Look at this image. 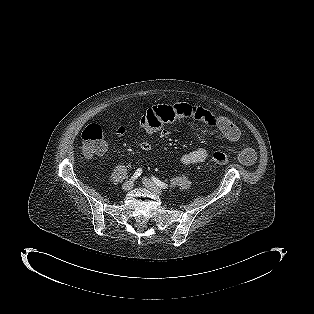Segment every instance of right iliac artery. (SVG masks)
<instances>
[{
	"instance_id": "right-iliac-artery-1",
	"label": "right iliac artery",
	"mask_w": 314,
	"mask_h": 314,
	"mask_svg": "<svg viewBox=\"0 0 314 314\" xmlns=\"http://www.w3.org/2000/svg\"><path fill=\"white\" fill-rule=\"evenodd\" d=\"M142 173V169L141 168H138L136 170V172L134 173V175L131 177L133 180L137 179Z\"/></svg>"
}]
</instances>
